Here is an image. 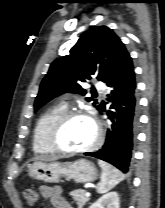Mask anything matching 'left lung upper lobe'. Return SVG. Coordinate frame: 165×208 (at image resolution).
<instances>
[{
    "label": "left lung upper lobe",
    "instance_id": "left-lung-upper-lobe-1",
    "mask_svg": "<svg viewBox=\"0 0 165 208\" xmlns=\"http://www.w3.org/2000/svg\"><path fill=\"white\" fill-rule=\"evenodd\" d=\"M129 55L120 38L108 27H91L81 35L71 48L70 54L56 59L41 82L39 93L34 103L38 110L54 97L65 92L84 95L82 82L91 81L93 77L106 83L118 70L123 60ZM93 105L99 110L100 105Z\"/></svg>",
    "mask_w": 165,
    "mask_h": 208
}]
</instances>
